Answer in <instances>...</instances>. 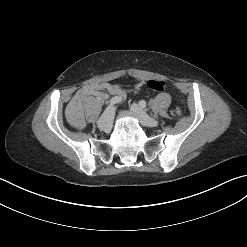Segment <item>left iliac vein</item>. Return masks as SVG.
Listing matches in <instances>:
<instances>
[{"instance_id":"left-iliac-vein-1","label":"left iliac vein","mask_w":247,"mask_h":247,"mask_svg":"<svg viewBox=\"0 0 247 247\" xmlns=\"http://www.w3.org/2000/svg\"><path fill=\"white\" fill-rule=\"evenodd\" d=\"M131 112L140 120V122L146 127L158 126V121L151 118L144 110L140 108L137 103H133L130 107Z\"/></svg>"}]
</instances>
